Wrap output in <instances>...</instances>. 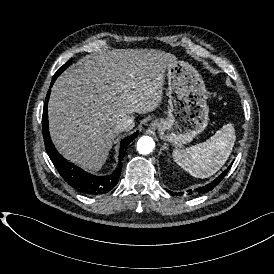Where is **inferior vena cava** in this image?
<instances>
[{
  "label": "inferior vena cava",
  "instance_id": "obj_1",
  "mask_svg": "<svg viewBox=\"0 0 274 274\" xmlns=\"http://www.w3.org/2000/svg\"><path fill=\"white\" fill-rule=\"evenodd\" d=\"M134 126H135L134 117L130 115H126L116 121L113 127V130L115 133H120L123 131H129L133 129Z\"/></svg>",
  "mask_w": 274,
  "mask_h": 274
}]
</instances>
